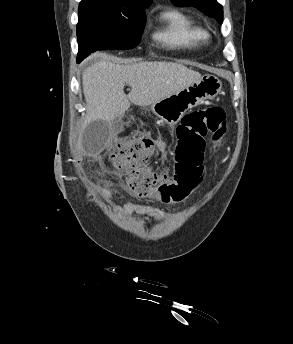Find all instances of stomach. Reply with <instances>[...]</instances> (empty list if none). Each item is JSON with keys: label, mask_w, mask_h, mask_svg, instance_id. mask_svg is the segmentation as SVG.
Instances as JSON below:
<instances>
[{"label": "stomach", "mask_w": 293, "mask_h": 344, "mask_svg": "<svg viewBox=\"0 0 293 344\" xmlns=\"http://www.w3.org/2000/svg\"><path fill=\"white\" fill-rule=\"evenodd\" d=\"M221 88L222 82L216 76L206 74L182 91L153 103L151 108L163 122L174 126L187 110L216 97Z\"/></svg>", "instance_id": "stomach-1"}]
</instances>
